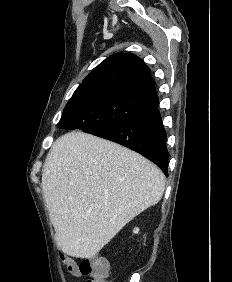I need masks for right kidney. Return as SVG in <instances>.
I'll return each mask as SVG.
<instances>
[{
  "instance_id": "right-kidney-1",
  "label": "right kidney",
  "mask_w": 232,
  "mask_h": 282,
  "mask_svg": "<svg viewBox=\"0 0 232 282\" xmlns=\"http://www.w3.org/2000/svg\"><path fill=\"white\" fill-rule=\"evenodd\" d=\"M133 232H134L135 234H137V233L139 232V229H138V228H135V229L133 230Z\"/></svg>"
}]
</instances>
